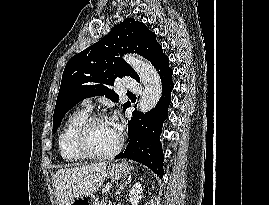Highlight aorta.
<instances>
[{
	"mask_svg": "<svg viewBox=\"0 0 269 205\" xmlns=\"http://www.w3.org/2000/svg\"><path fill=\"white\" fill-rule=\"evenodd\" d=\"M124 59L136 71L143 84V91L139 99L138 110L146 113L152 110L162 95V82L156 69L142 57L125 55Z\"/></svg>",
	"mask_w": 269,
	"mask_h": 205,
	"instance_id": "obj_1",
	"label": "aorta"
}]
</instances>
